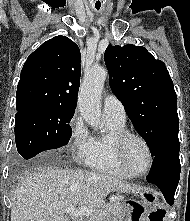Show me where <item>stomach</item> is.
I'll list each match as a JSON object with an SVG mask.
<instances>
[{
    "instance_id": "stomach-1",
    "label": "stomach",
    "mask_w": 190,
    "mask_h": 221,
    "mask_svg": "<svg viewBox=\"0 0 190 221\" xmlns=\"http://www.w3.org/2000/svg\"><path fill=\"white\" fill-rule=\"evenodd\" d=\"M140 200H120L123 213H129V217H169V212H163V204H158V198L152 191H144L138 194ZM111 220V219H110ZM118 221H167L166 218H123Z\"/></svg>"
}]
</instances>
